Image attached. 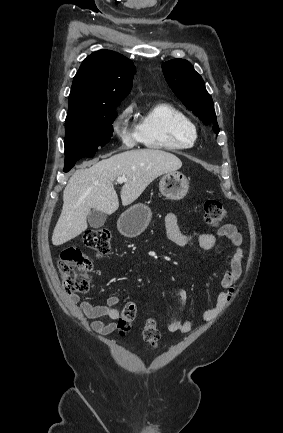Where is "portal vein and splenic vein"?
Returning a JSON list of instances; mask_svg holds the SVG:
<instances>
[{
	"mask_svg": "<svg viewBox=\"0 0 283 433\" xmlns=\"http://www.w3.org/2000/svg\"><path fill=\"white\" fill-rule=\"evenodd\" d=\"M127 180L126 176H118L117 182H125Z\"/></svg>",
	"mask_w": 283,
	"mask_h": 433,
	"instance_id": "1",
	"label": "portal vein and splenic vein"
}]
</instances>
